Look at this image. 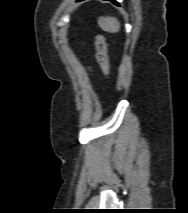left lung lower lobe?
Segmentation results:
<instances>
[{
	"label": "left lung lower lobe",
	"mask_w": 188,
	"mask_h": 213,
	"mask_svg": "<svg viewBox=\"0 0 188 213\" xmlns=\"http://www.w3.org/2000/svg\"><path fill=\"white\" fill-rule=\"evenodd\" d=\"M77 1H82V0H77ZM109 1H112V2H114L116 4H118L115 0H109Z\"/></svg>",
	"instance_id": "obj_1"
}]
</instances>
